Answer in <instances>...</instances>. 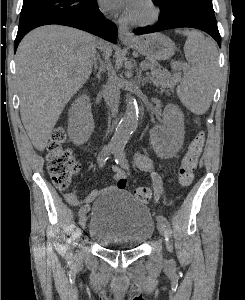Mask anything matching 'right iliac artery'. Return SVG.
I'll return each instance as SVG.
<instances>
[{
	"instance_id": "right-iliac-artery-1",
	"label": "right iliac artery",
	"mask_w": 245,
	"mask_h": 300,
	"mask_svg": "<svg viewBox=\"0 0 245 300\" xmlns=\"http://www.w3.org/2000/svg\"><path fill=\"white\" fill-rule=\"evenodd\" d=\"M115 147L113 145H107L105 146L99 153L98 155V164L100 167H103L105 162L107 161V159L109 158V156L114 153L115 151ZM89 210V206L88 205H84L83 207H81V209L78 212L79 216H82L83 214L87 213V211Z\"/></svg>"
}]
</instances>
